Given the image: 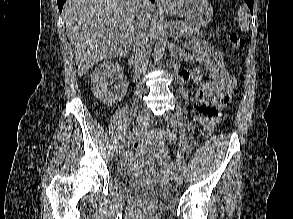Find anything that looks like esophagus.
Listing matches in <instances>:
<instances>
[{
	"instance_id": "esophagus-1",
	"label": "esophagus",
	"mask_w": 293,
	"mask_h": 219,
	"mask_svg": "<svg viewBox=\"0 0 293 219\" xmlns=\"http://www.w3.org/2000/svg\"><path fill=\"white\" fill-rule=\"evenodd\" d=\"M158 4H167L168 0H156Z\"/></svg>"
}]
</instances>
